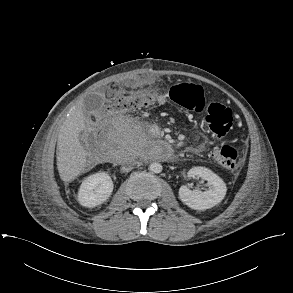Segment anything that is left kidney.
<instances>
[{"mask_svg": "<svg viewBox=\"0 0 293 293\" xmlns=\"http://www.w3.org/2000/svg\"><path fill=\"white\" fill-rule=\"evenodd\" d=\"M188 177H200L208 182L207 191L191 190L186 185L179 189V198L188 207L195 210H206L220 203L226 195V184L210 169L193 167L188 171Z\"/></svg>", "mask_w": 293, "mask_h": 293, "instance_id": "left-kidney-1", "label": "left kidney"}]
</instances>
